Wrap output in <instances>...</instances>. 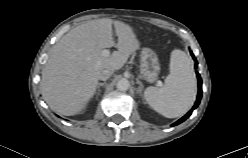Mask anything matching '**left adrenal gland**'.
<instances>
[{"instance_id":"a2214340","label":"left adrenal gland","mask_w":248,"mask_h":158,"mask_svg":"<svg viewBox=\"0 0 248 158\" xmlns=\"http://www.w3.org/2000/svg\"><path fill=\"white\" fill-rule=\"evenodd\" d=\"M136 83L139 85L138 89H137V93L140 94L142 96V90H143V84L140 80L137 79Z\"/></svg>"}]
</instances>
